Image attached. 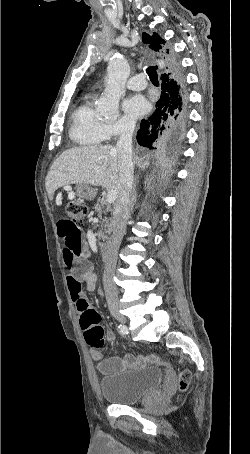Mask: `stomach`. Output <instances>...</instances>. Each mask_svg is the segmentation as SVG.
Segmentation results:
<instances>
[{"mask_svg": "<svg viewBox=\"0 0 250 454\" xmlns=\"http://www.w3.org/2000/svg\"><path fill=\"white\" fill-rule=\"evenodd\" d=\"M77 195L86 200H93L96 195V190L89 185L80 184L77 189Z\"/></svg>", "mask_w": 250, "mask_h": 454, "instance_id": "0dacf381", "label": "stomach"}]
</instances>
